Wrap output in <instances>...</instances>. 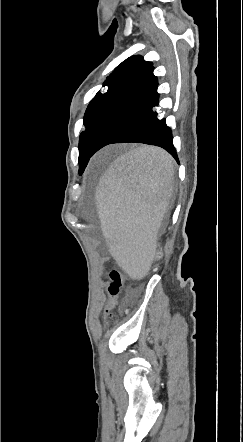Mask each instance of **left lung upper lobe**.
I'll list each match as a JSON object with an SVG mask.
<instances>
[{"label":"left lung upper lobe","mask_w":243,"mask_h":442,"mask_svg":"<svg viewBox=\"0 0 243 442\" xmlns=\"http://www.w3.org/2000/svg\"><path fill=\"white\" fill-rule=\"evenodd\" d=\"M154 67L151 62L144 61L141 56H132L123 61L110 76L103 86L107 88L98 92L89 103L84 115L86 130L79 138V174H82L87 163L83 158L84 152L108 112L126 94L141 84L152 72Z\"/></svg>","instance_id":"5c2ea615"}]
</instances>
